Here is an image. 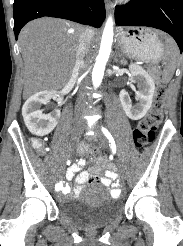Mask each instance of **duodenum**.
I'll list each match as a JSON object with an SVG mask.
<instances>
[{
    "label": "duodenum",
    "instance_id": "duodenum-1",
    "mask_svg": "<svg viewBox=\"0 0 183 246\" xmlns=\"http://www.w3.org/2000/svg\"><path fill=\"white\" fill-rule=\"evenodd\" d=\"M88 147L89 148H92L93 147V144L92 143H89L88 144ZM80 151H87V146H84V145L83 146H80Z\"/></svg>",
    "mask_w": 183,
    "mask_h": 246
}]
</instances>
